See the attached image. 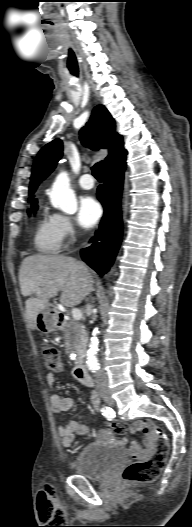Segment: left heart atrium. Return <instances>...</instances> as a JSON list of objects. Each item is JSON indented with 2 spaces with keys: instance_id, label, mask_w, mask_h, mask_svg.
Segmentation results:
<instances>
[{
  "instance_id": "39dd6f15",
  "label": "left heart atrium",
  "mask_w": 192,
  "mask_h": 527,
  "mask_svg": "<svg viewBox=\"0 0 192 527\" xmlns=\"http://www.w3.org/2000/svg\"><path fill=\"white\" fill-rule=\"evenodd\" d=\"M101 215V206L93 197L86 196L80 200L78 221L83 227H93L99 221Z\"/></svg>"
}]
</instances>
